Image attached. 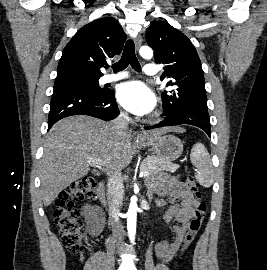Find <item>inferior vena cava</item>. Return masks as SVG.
I'll return each mask as SVG.
<instances>
[{"mask_svg":"<svg viewBox=\"0 0 267 270\" xmlns=\"http://www.w3.org/2000/svg\"><path fill=\"white\" fill-rule=\"evenodd\" d=\"M128 124L129 118L127 114H121L112 121L113 129L118 135H121L124 132L128 131ZM123 195L124 189L121 171L118 168H114L108 178L107 200L113 235L120 246H122V240L124 236L123 226L119 220V213Z\"/></svg>","mask_w":267,"mask_h":270,"instance_id":"obj_1","label":"inferior vena cava"}]
</instances>
